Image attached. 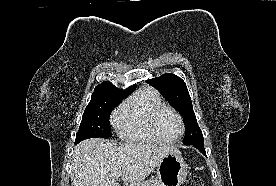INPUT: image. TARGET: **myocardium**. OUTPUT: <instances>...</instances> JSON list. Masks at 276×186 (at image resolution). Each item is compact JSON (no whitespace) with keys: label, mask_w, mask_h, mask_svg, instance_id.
<instances>
[{"label":"myocardium","mask_w":276,"mask_h":186,"mask_svg":"<svg viewBox=\"0 0 276 186\" xmlns=\"http://www.w3.org/2000/svg\"><path fill=\"white\" fill-rule=\"evenodd\" d=\"M165 110H169V111L173 112L176 115V117L178 118L180 125H181L180 134L174 139H166L165 137H163L157 127L158 118H159L160 114ZM150 127H151V131L154 134V136L159 141H161L163 143H167V144H173V143L178 142L179 140L182 139V137L184 136V133H185V122H184L182 115L174 107H172L170 105H166V104H163L154 110V112L151 115V119H150Z\"/></svg>","instance_id":"obj_1"}]
</instances>
